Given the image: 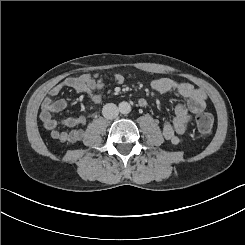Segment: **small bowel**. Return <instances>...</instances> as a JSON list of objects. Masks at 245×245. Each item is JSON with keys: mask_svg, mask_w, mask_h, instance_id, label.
I'll return each instance as SVG.
<instances>
[{"mask_svg": "<svg viewBox=\"0 0 245 245\" xmlns=\"http://www.w3.org/2000/svg\"><path fill=\"white\" fill-rule=\"evenodd\" d=\"M113 78L117 84H122L124 81V77L120 73H115ZM65 87L85 94L94 102H100L103 97L104 82L98 75L82 74L69 77L52 87L42 101L39 117L51 137L62 143H75L83 138L84 131L79 127L86 123L87 116L69 117L61 122L54 118L55 113L64 110L68 106L65 100L55 99ZM151 87L159 93L176 92L187 99L186 103L176 106L174 119L172 121H165L162 124L164 138L173 145H178L182 142L181 136L186 133L192 121V115L198 114L205 109L207 96L204 91L195 88L190 83L179 82L167 77L153 80ZM138 104L145 106L146 100L139 98ZM59 125L71 128V130H61L58 127Z\"/></svg>", "mask_w": 245, "mask_h": 245, "instance_id": "obj_1", "label": "small bowel"}]
</instances>
